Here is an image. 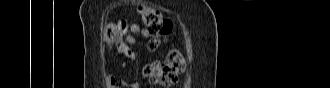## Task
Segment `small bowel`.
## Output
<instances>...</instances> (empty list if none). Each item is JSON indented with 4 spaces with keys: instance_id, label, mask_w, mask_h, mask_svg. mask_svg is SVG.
Instances as JSON below:
<instances>
[{
    "instance_id": "small-bowel-1",
    "label": "small bowel",
    "mask_w": 330,
    "mask_h": 88,
    "mask_svg": "<svg viewBox=\"0 0 330 88\" xmlns=\"http://www.w3.org/2000/svg\"><path fill=\"white\" fill-rule=\"evenodd\" d=\"M137 35L142 37H147L148 32L145 28L140 26L139 24H130L128 26V34L125 37L124 43L120 46H118L119 52L122 56H124L126 59L129 60H135L136 59V53L131 49V45L136 44L137 42ZM107 84L109 88H121V87H127V88H138V83H129L126 81H117V79L113 75L107 76Z\"/></svg>"
}]
</instances>
